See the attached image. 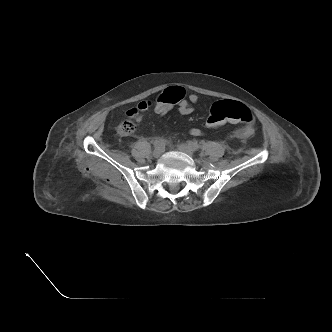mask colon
Segmentation results:
<instances>
[{
	"instance_id": "obj_1",
	"label": "colon",
	"mask_w": 332,
	"mask_h": 332,
	"mask_svg": "<svg viewBox=\"0 0 332 332\" xmlns=\"http://www.w3.org/2000/svg\"><path fill=\"white\" fill-rule=\"evenodd\" d=\"M184 96V91L180 87H170L166 89L158 98V102L176 103ZM151 107V102L142 101L134 108L127 112V115L134 118L140 112L146 111ZM253 115L250 109L237 101L220 100L215 102L211 109L209 116L205 122V127L216 128L226 122L232 123H247L253 122ZM135 123L131 120L123 121L119 126V131L124 135H130L135 131Z\"/></svg>"
}]
</instances>
